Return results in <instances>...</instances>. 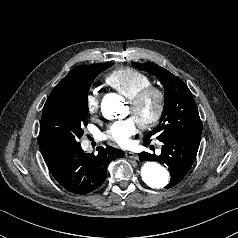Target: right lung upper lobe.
Wrapping results in <instances>:
<instances>
[{"label":"right lung upper lobe","instance_id":"right-lung-upper-lobe-1","mask_svg":"<svg viewBox=\"0 0 238 238\" xmlns=\"http://www.w3.org/2000/svg\"><path fill=\"white\" fill-rule=\"evenodd\" d=\"M86 66L88 65H83V66H78L75 67L73 70H71L53 89L52 92L58 91L59 89H61L62 87H64L65 85H67L72 79H74L76 77L77 74H79ZM39 146L44 158L45 162H49L52 159L60 156L61 154H63L64 152L49 145L46 144L42 141H39Z\"/></svg>","mask_w":238,"mask_h":238}]
</instances>
